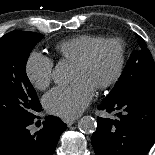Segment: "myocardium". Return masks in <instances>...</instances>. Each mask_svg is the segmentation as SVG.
I'll return each instance as SVG.
<instances>
[{
    "label": "myocardium",
    "mask_w": 155,
    "mask_h": 155,
    "mask_svg": "<svg viewBox=\"0 0 155 155\" xmlns=\"http://www.w3.org/2000/svg\"><path fill=\"white\" fill-rule=\"evenodd\" d=\"M107 44H112L117 47L118 53H119L118 63L112 76L109 79H107L105 82L97 85L95 87V90L107 89L113 86L114 84H116L121 78L124 70V66H125V60H126V50H125L124 42L119 38H104L98 41L97 43H95L93 46H91L87 50V52L77 62L74 63L75 66H78L81 68L88 66L92 61L93 57L95 56V54L97 53V51L102 46Z\"/></svg>",
    "instance_id": "obj_1"
}]
</instances>
